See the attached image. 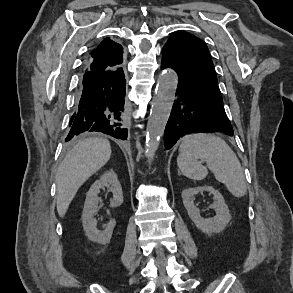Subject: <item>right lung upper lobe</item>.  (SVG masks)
Instances as JSON below:
<instances>
[{"instance_id":"cb5924a9","label":"right lung upper lobe","mask_w":293,"mask_h":293,"mask_svg":"<svg viewBox=\"0 0 293 293\" xmlns=\"http://www.w3.org/2000/svg\"><path fill=\"white\" fill-rule=\"evenodd\" d=\"M123 48L120 44L106 38L94 49L87 59L85 73L116 70L122 68Z\"/></svg>"}]
</instances>
